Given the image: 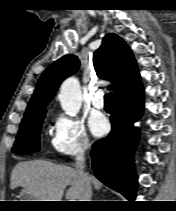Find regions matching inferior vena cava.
Here are the masks:
<instances>
[{"label": "inferior vena cava", "instance_id": "1", "mask_svg": "<svg viewBox=\"0 0 176 211\" xmlns=\"http://www.w3.org/2000/svg\"><path fill=\"white\" fill-rule=\"evenodd\" d=\"M88 146H89L88 144L83 145L82 149L80 150L76 158V168L81 178L83 191H84L82 201H91V195H92V188H91L88 175L84 172L85 151L87 150Z\"/></svg>", "mask_w": 176, "mask_h": 211}]
</instances>
